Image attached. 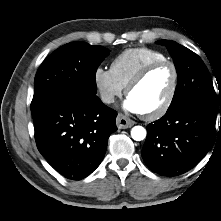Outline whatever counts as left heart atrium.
I'll return each mask as SVG.
<instances>
[{
  "label": "left heart atrium",
  "instance_id": "obj_1",
  "mask_svg": "<svg viewBox=\"0 0 221 221\" xmlns=\"http://www.w3.org/2000/svg\"><path fill=\"white\" fill-rule=\"evenodd\" d=\"M124 107L133 113H142L137 102L131 97H128L127 100H125Z\"/></svg>",
  "mask_w": 221,
  "mask_h": 221
}]
</instances>
